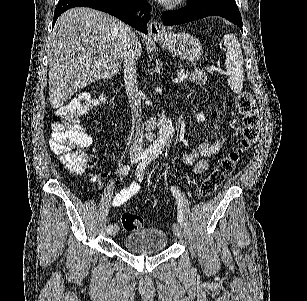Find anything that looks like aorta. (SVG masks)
<instances>
[{
  "label": "aorta",
  "mask_w": 307,
  "mask_h": 301,
  "mask_svg": "<svg viewBox=\"0 0 307 301\" xmlns=\"http://www.w3.org/2000/svg\"><path fill=\"white\" fill-rule=\"evenodd\" d=\"M157 126L158 136L149 148L151 153H161L162 148H164L168 140H171V136H173L175 132L174 124L171 118H166V116H159Z\"/></svg>",
  "instance_id": "aorta-1"
}]
</instances>
